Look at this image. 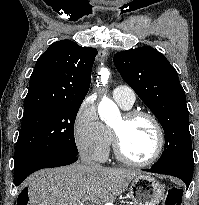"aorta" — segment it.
Wrapping results in <instances>:
<instances>
[{"instance_id": "762f6f07", "label": "aorta", "mask_w": 199, "mask_h": 205, "mask_svg": "<svg viewBox=\"0 0 199 205\" xmlns=\"http://www.w3.org/2000/svg\"><path fill=\"white\" fill-rule=\"evenodd\" d=\"M101 82L105 85L109 78V71L107 69H102L101 72ZM117 110L116 105L107 96H103L101 103L99 105V115L102 120H105L110 112Z\"/></svg>"}]
</instances>
